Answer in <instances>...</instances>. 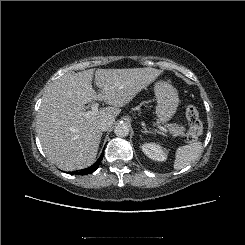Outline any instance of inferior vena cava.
<instances>
[{"mask_svg": "<svg viewBox=\"0 0 245 245\" xmlns=\"http://www.w3.org/2000/svg\"><path fill=\"white\" fill-rule=\"evenodd\" d=\"M115 119L112 117L104 118L99 122V129L101 131H107L111 125L114 123Z\"/></svg>", "mask_w": 245, "mask_h": 245, "instance_id": "inferior-vena-cava-1", "label": "inferior vena cava"}]
</instances>
